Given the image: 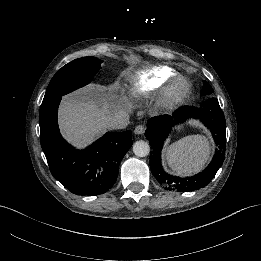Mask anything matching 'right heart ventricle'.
Here are the masks:
<instances>
[{
  "label": "right heart ventricle",
  "mask_w": 261,
  "mask_h": 261,
  "mask_svg": "<svg viewBox=\"0 0 261 261\" xmlns=\"http://www.w3.org/2000/svg\"><path fill=\"white\" fill-rule=\"evenodd\" d=\"M175 75H176V72H174V71L171 72L169 77L167 78V80L173 78ZM138 86H139V91L143 94H146L149 91H151L153 86H152V83H151L150 75L146 74V75L140 76Z\"/></svg>",
  "instance_id": "e07e8e85"
}]
</instances>
